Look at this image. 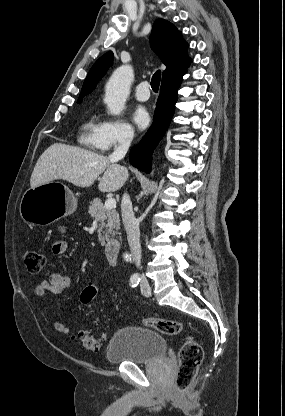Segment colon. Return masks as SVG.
Instances as JSON below:
<instances>
[{
	"instance_id": "colon-1",
	"label": "colon",
	"mask_w": 285,
	"mask_h": 416,
	"mask_svg": "<svg viewBox=\"0 0 285 416\" xmlns=\"http://www.w3.org/2000/svg\"><path fill=\"white\" fill-rule=\"evenodd\" d=\"M24 263L30 274L38 275L44 267L45 258L40 252L30 250L24 254ZM97 294L96 285L86 286L80 294L81 304L89 306ZM141 323L166 335H177L183 330L182 323L176 320L144 318ZM75 340L83 349L98 352L103 345L104 337L95 335L90 330H81L75 335ZM203 358L202 346L192 336H187L179 351V367L174 379V390L180 402L185 400L186 391L192 384Z\"/></svg>"
}]
</instances>
